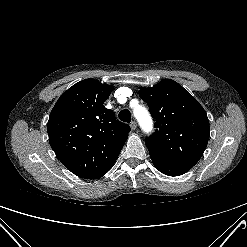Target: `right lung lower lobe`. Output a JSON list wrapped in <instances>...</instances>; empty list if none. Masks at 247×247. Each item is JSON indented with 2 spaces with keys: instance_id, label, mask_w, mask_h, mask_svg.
I'll return each instance as SVG.
<instances>
[{
  "instance_id": "98d812e1",
  "label": "right lung lower lobe",
  "mask_w": 247,
  "mask_h": 247,
  "mask_svg": "<svg viewBox=\"0 0 247 247\" xmlns=\"http://www.w3.org/2000/svg\"><path fill=\"white\" fill-rule=\"evenodd\" d=\"M113 167V164L109 167H107L105 170H103L102 172H100L99 174H97L95 177H93L92 179H97L99 177H102L104 174H106L111 168Z\"/></svg>"
}]
</instances>
